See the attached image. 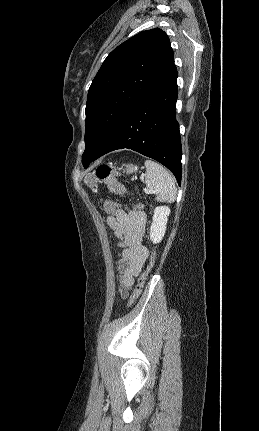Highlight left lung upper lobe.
<instances>
[{"label":"left lung upper lobe","mask_w":259,"mask_h":431,"mask_svg":"<svg viewBox=\"0 0 259 431\" xmlns=\"http://www.w3.org/2000/svg\"><path fill=\"white\" fill-rule=\"evenodd\" d=\"M174 64L167 34L142 31L115 48L96 74L87 97L85 151L88 167L119 121Z\"/></svg>","instance_id":"5c2ea615"}]
</instances>
